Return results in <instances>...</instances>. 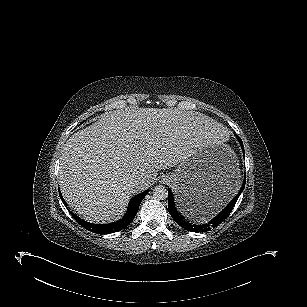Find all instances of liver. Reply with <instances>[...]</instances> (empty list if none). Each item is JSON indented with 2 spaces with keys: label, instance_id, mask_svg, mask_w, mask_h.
Segmentation results:
<instances>
[{
  "label": "liver",
  "instance_id": "liver-1",
  "mask_svg": "<svg viewBox=\"0 0 307 307\" xmlns=\"http://www.w3.org/2000/svg\"><path fill=\"white\" fill-rule=\"evenodd\" d=\"M224 129L197 112L129 108L104 113L74 133L60 157L59 183L69 207L89 222L122 217L134 193L146 190L161 169L222 138ZM143 179L133 188L130 182Z\"/></svg>",
  "mask_w": 307,
  "mask_h": 307
}]
</instances>
